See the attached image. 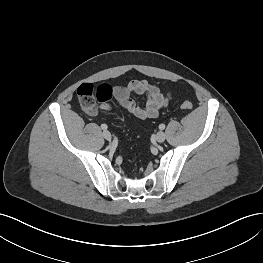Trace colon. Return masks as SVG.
<instances>
[{
    "label": "colon",
    "instance_id": "1",
    "mask_svg": "<svg viewBox=\"0 0 263 263\" xmlns=\"http://www.w3.org/2000/svg\"><path fill=\"white\" fill-rule=\"evenodd\" d=\"M113 90L108 84H101L95 87L90 83L81 84L76 91V96L81 108L89 111L95 107L97 102H107L112 98ZM193 107L190 101H183L181 108L184 110H191Z\"/></svg>",
    "mask_w": 263,
    "mask_h": 263
}]
</instances>
